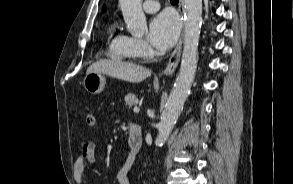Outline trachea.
Wrapping results in <instances>:
<instances>
[{
	"label": "trachea",
	"mask_w": 293,
	"mask_h": 184,
	"mask_svg": "<svg viewBox=\"0 0 293 184\" xmlns=\"http://www.w3.org/2000/svg\"><path fill=\"white\" fill-rule=\"evenodd\" d=\"M170 2H178V0H170Z\"/></svg>",
	"instance_id": "obj_1"
}]
</instances>
